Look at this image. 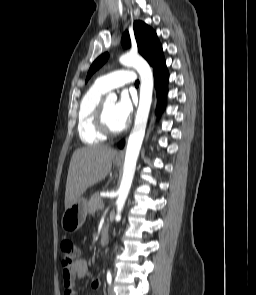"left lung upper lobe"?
<instances>
[{
  "mask_svg": "<svg viewBox=\"0 0 256 295\" xmlns=\"http://www.w3.org/2000/svg\"><path fill=\"white\" fill-rule=\"evenodd\" d=\"M134 35L139 53L153 68L165 64L162 47L157 39V35L148 25L141 21L134 22ZM121 43L125 48L130 47L131 41L127 31L123 34ZM108 56V53H104L93 62L88 71L86 81L107 61Z\"/></svg>",
  "mask_w": 256,
  "mask_h": 295,
  "instance_id": "left-lung-upper-lobe-1",
  "label": "left lung upper lobe"
}]
</instances>
